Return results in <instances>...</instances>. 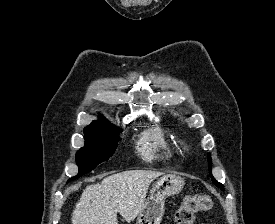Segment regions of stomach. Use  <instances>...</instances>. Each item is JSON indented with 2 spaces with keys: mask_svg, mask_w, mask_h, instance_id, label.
Here are the masks:
<instances>
[{
  "mask_svg": "<svg viewBox=\"0 0 275 224\" xmlns=\"http://www.w3.org/2000/svg\"><path fill=\"white\" fill-rule=\"evenodd\" d=\"M183 186L184 180L178 175L167 174L158 179L152 186L136 224H160L165 210V198L180 193Z\"/></svg>",
  "mask_w": 275,
  "mask_h": 224,
  "instance_id": "0dacf381",
  "label": "stomach"
}]
</instances>
